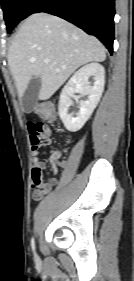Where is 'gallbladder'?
<instances>
[{
  "label": "gallbladder",
  "mask_w": 134,
  "mask_h": 281,
  "mask_svg": "<svg viewBox=\"0 0 134 281\" xmlns=\"http://www.w3.org/2000/svg\"><path fill=\"white\" fill-rule=\"evenodd\" d=\"M40 88V78H32L22 97V108L24 112L30 113L33 110L39 95Z\"/></svg>",
  "instance_id": "1"
}]
</instances>
